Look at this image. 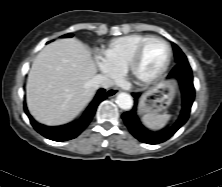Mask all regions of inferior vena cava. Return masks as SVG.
<instances>
[{
    "instance_id": "602c4592",
    "label": "inferior vena cava",
    "mask_w": 222,
    "mask_h": 187,
    "mask_svg": "<svg viewBox=\"0 0 222 187\" xmlns=\"http://www.w3.org/2000/svg\"><path fill=\"white\" fill-rule=\"evenodd\" d=\"M91 86L94 88H110L113 86V81L106 75H97L91 81Z\"/></svg>"
}]
</instances>
